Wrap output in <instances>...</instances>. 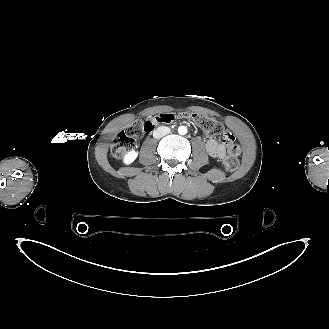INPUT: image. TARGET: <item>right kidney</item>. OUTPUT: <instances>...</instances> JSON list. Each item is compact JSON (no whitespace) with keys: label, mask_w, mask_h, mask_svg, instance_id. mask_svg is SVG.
Returning a JSON list of instances; mask_svg holds the SVG:
<instances>
[{"label":"right kidney","mask_w":329,"mask_h":329,"mask_svg":"<svg viewBox=\"0 0 329 329\" xmlns=\"http://www.w3.org/2000/svg\"><path fill=\"white\" fill-rule=\"evenodd\" d=\"M138 156V152L132 150L130 152H128L124 158H123V162L126 164V165H129L131 164L132 162H134V160L137 158Z\"/></svg>","instance_id":"ca27d5eb"}]
</instances>
